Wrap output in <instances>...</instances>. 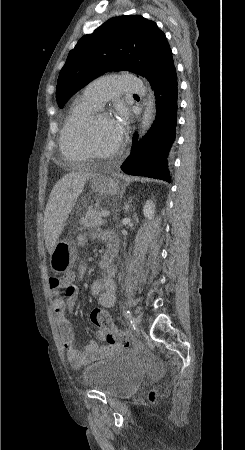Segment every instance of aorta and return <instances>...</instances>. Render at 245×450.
I'll return each mask as SVG.
<instances>
[{
  "label": "aorta",
  "instance_id": "obj_1",
  "mask_svg": "<svg viewBox=\"0 0 245 450\" xmlns=\"http://www.w3.org/2000/svg\"><path fill=\"white\" fill-rule=\"evenodd\" d=\"M155 115V97L154 93L149 90V93L145 99V109L141 121L140 136L145 135L150 128Z\"/></svg>",
  "mask_w": 245,
  "mask_h": 450
}]
</instances>
